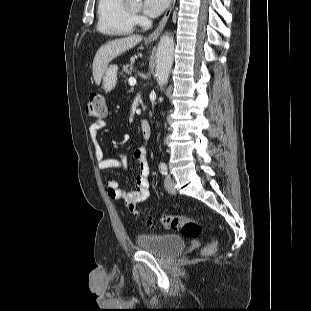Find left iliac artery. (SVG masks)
<instances>
[{"instance_id":"44dca946","label":"left iliac artery","mask_w":311,"mask_h":311,"mask_svg":"<svg viewBox=\"0 0 311 311\" xmlns=\"http://www.w3.org/2000/svg\"><path fill=\"white\" fill-rule=\"evenodd\" d=\"M159 170L162 173V175H166L168 172L167 165L164 162H161L159 165Z\"/></svg>"}]
</instances>
